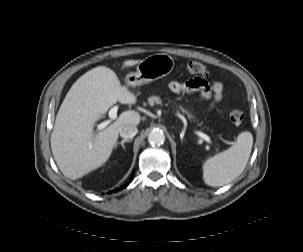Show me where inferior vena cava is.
I'll return each instance as SVG.
<instances>
[{
  "instance_id": "obj_1",
  "label": "inferior vena cava",
  "mask_w": 303,
  "mask_h": 252,
  "mask_svg": "<svg viewBox=\"0 0 303 252\" xmlns=\"http://www.w3.org/2000/svg\"><path fill=\"white\" fill-rule=\"evenodd\" d=\"M119 133L123 138L132 139L137 133V127L135 125H124L119 129Z\"/></svg>"
}]
</instances>
